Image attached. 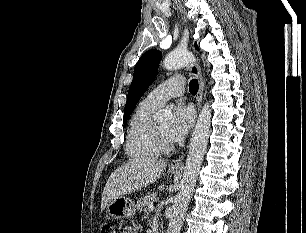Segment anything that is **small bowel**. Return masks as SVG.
<instances>
[{
	"instance_id": "1",
	"label": "small bowel",
	"mask_w": 306,
	"mask_h": 233,
	"mask_svg": "<svg viewBox=\"0 0 306 233\" xmlns=\"http://www.w3.org/2000/svg\"><path fill=\"white\" fill-rule=\"evenodd\" d=\"M123 233H137V230L134 227H127L124 229Z\"/></svg>"
}]
</instances>
